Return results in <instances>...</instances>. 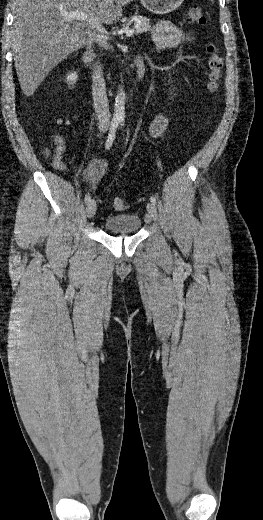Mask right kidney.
I'll return each instance as SVG.
<instances>
[{
	"mask_svg": "<svg viewBox=\"0 0 263 520\" xmlns=\"http://www.w3.org/2000/svg\"><path fill=\"white\" fill-rule=\"evenodd\" d=\"M66 79H67L68 84L73 86L78 79V75L76 72H73V73L68 74Z\"/></svg>",
	"mask_w": 263,
	"mask_h": 520,
	"instance_id": "1",
	"label": "right kidney"
}]
</instances>
